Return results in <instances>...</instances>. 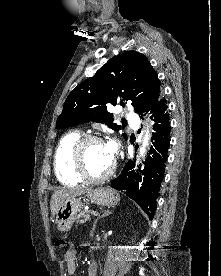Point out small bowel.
<instances>
[{
    "instance_id": "small-bowel-1",
    "label": "small bowel",
    "mask_w": 221,
    "mask_h": 276,
    "mask_svg": "<svg viewBox=\"0 0 221 276\" xmlns=\"http://www.w3.org/2000/svg\"><path fill=\"white\" fill-rule=\"evenodd\" d=\"M77 251L75 248H69L64 256V262L67 269V272L70 275L75 274L76 272V262H77ZM97 265L95 262H91L88 267V276H96Z\"/></svg>"
}]
</instances>
